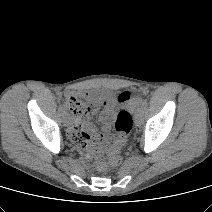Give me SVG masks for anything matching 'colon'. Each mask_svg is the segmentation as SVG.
<instances>
[{
    "label": "colon",
    "mask_w": 212,
    "mask_h": 212,
    "mask_svg": "<svg viewBox=\"0 0 212 212\" xmlns=\"http://www.w3.org/2000/svg\"><path fill=\"white\" fill-rule=\"evenodd\" d=\"M115 97L118 101L128 102L132 106L136 102V92L133 90L120 91L116 94ZM66 103L69 111L74 116L86 114L88 111V107L86 106V104L76 96L68 97ZM132 123V116L128 111L122 110L118 113L115 123V127L118 132V137L113 142L107 162L100 161L98 163V169L100 171H105L108 166L115 167L121 163L122 158L119 155V150L125 143L127 136L132 129Z\"/></svg>",
    "instance_id": "obj_1"
}]
</instances>
